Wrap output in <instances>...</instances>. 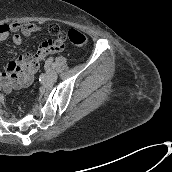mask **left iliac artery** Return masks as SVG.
Instances as JSON below:
<instances>
[{
	"label": "left iliac artery",
	"instance_id": "44dca946",
	"mask_svg": "<svg viewBox=\"0 0 172 172\" xmlns=\"http://www.w3.org/2000/svg\"><path fill=\"white\" fill-rule=\"evenodd\" d=\"M53 62V58H49L48 60H47V64H51Z\"/></svg>",
	"mask_w": 172,
	"mask_h": 172
}]
</instances>
